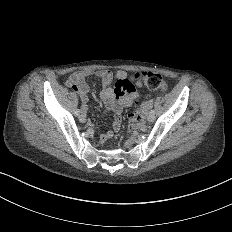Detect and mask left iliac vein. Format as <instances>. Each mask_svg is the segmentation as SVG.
<instances>
[{
    "label": "left iliac vein",
    "instance_id": "4c4485c4",
    "mask_svg": "<svg viewBox=\"0 0 232 232\" xmlns=\"http://www.w3.org/2000/svg\"><path fill=\"white\" fill-rule=\"evenodd\" d=\"M147 121H148L149 123H152V122L154 121V115H153V114H148V115H147Z\"/></svg>",
    "mask_w": 232,
    "mask_h": 232
}]
</instances>
